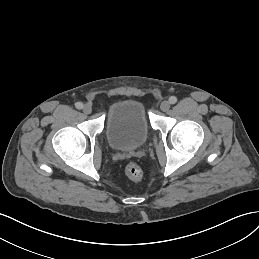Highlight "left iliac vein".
<instances>
[{
  "instance_id": "4c4485c4",
  "label": "left iliac vein",
  "mask_w": 259,
  "mask_h": 259,
  "mask_svg": "<svg viewBox=\"0 0 259 259\" xmlns=\"http://www.w3.org/2000/svg\"><path fill=\"white\" fill-rule=\"evenodd\" d=\"M170 108V104L168 101H163L160 105V109L163 111V112H166L168 111Z\"/></svg>"
}]
</instances>
